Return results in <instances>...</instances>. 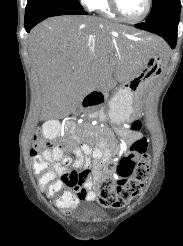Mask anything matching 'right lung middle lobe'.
Segmentation results:
<instances>
[{
    "instance_id": "right-lung-middle-lobe-1",
    "label": "right lung middle lobe",
    "mask_w": 183,
    "mask_h": 246,
    "mask_svg": "<svg viewBox=\"0 0 183 246\" xmlns=\"http://www.w3.org/2000/svg\"><path fill=\"white\" fill-rule=\"evenodd\" d=\"M83 8L77 0H28L25 17L42 16L64 8Z\"/></svg>"
}]
</instances>
